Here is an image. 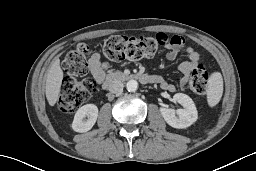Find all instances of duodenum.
Returning a JSON list of instances; mask_svg holds the SVG:
<instances>
[{
	"mask_svg": "<svg viewBox=\"0 0 256 171\" xmlns=\"http://www.w3.org/2000/svg\"><path fill=\"white\" fill-rule=\"evenodd\" d=\"M129 80H137L143 84H148L153 81V78L146 74H124L118 72L110 73L103 82V87L107 89L113 82L121 81L127 82Z\"/></svg>",
	"mask_w": 256,
	"mask_h": 171,
	"instance_id": "1",
	"label": "duodenum"
}]
</instances>
